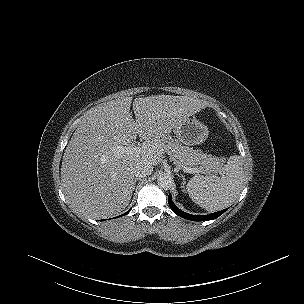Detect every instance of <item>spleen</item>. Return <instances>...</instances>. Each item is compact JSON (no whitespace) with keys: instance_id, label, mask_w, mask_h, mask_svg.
<instances>
[{"instance_id":"obj_1","label":"spleen","mask_w":304,"mask_h":304,"mask_svg":"<svg viewBox=\"0 0 304 304\" xmlns=\"http://www.w3.org/2000/svg\"><path fill=\"white\" fill-rule=\"evenodd\" d=\"M244 169L240 156L233 155L222 168L221 175L194 176L187 184V192L200 207L215 211L231 205L244 185Z\"/></svg>"}]
</instances>
